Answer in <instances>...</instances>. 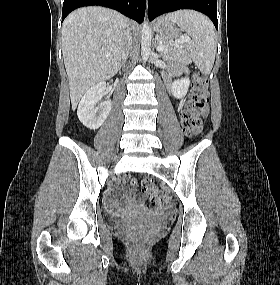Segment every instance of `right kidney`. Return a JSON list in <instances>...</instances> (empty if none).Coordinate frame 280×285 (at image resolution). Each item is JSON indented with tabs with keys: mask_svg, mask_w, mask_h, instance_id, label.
<instances>
[{
	"mask_svg": "<svg viewBox=\"0 0 280 285\" xmlns=\"http://www.w3.org/2000/svg\"><path fill=\"white\" fill-rule=\"evenodd\" d=\"M106 83L99 82L91 87L82 97L77 115L81 123L91 130L98 129L106 120L111 110V100L101 102L97 107V102L105 95Z\"/></svg>",
	"mask_w": 280,
	"mask_h": 285,
	"instance_id": "1",
	"label": "right kidney"
}]
</instances>
